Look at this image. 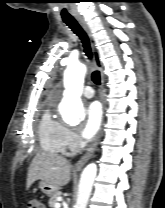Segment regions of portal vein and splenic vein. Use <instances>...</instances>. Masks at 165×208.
Returning <instances> with one entry per match:
<instances>
[{"label":"portal vein and splenic vein","instance_id":"1","mask_svg":"<svg viewBox=\"0 0 165 208\" xmlns=\"http://www.w3.org/2000/svg\"><path fill=\"white\" fill-rule=\"evenodd\" d=\"M60 207H61L60 203L55 204V208H60Z\"/></svg>","mask_w":165,"mask_h":208}]
</instances>
